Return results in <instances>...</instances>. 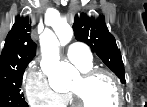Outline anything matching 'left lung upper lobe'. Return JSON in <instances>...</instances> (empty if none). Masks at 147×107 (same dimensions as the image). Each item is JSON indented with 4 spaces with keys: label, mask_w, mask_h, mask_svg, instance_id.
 Instances as JSON below:
<instances>
[{
    "label": "left lung upper lobe",
    "mask_w": 147,
    "mask_h": 107,
    "mask_svg": "<svg viewBox=\"0 0 147 107\" xmlns=\"http://www.w3.org/2000/svg\"><path fill=\"white\" fill-rule=\"evenodd\" d=\"M73 30L75 38L88 44L91 50L96 52L104 64L125 84L122 57L114 36L108 31L105 19L103 17H88L83 13L80 17H75Z\"/></svg>",
    "instance_id": "obj_1"
}]
</instances>
